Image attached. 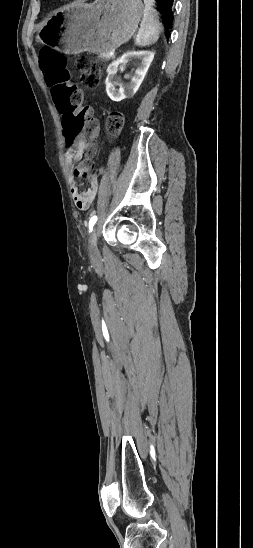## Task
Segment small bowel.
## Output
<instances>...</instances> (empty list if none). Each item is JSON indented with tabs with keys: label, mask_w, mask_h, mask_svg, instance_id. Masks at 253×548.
<instances>
[{
	"label": "small bowel",
	"mask_w": 253,
	"mask_h": 548,
	"mask_svg": "<svg viewBox=\"0 0 253 548\" xmlns=\"http://www.w3.org/2000/svg\"><path fill=\"white\" fill-rule=\"evenodd\" d=\"M85 148L86 141L84 135L82 137H74L73 139L68 140L66 150V168L70 180L71 195L76 207L80 210H86L90 207L98 190V182L96 177H87L89 181V188L85 191H81V184L77 181V178H80L83 175L77 172L76 162L81 159Z\"/></svg>",
	"instance_id": "1"
}]
</instances>
